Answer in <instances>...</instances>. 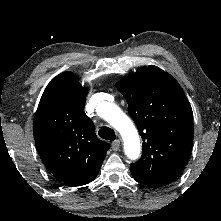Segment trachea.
<instances>
[{
    "mask_svg": "<svg viewBox=\"0 0 221 221\" xmlns=\"http://www.w3.org/2000/svg\"><path fill=\"white\" fill-rule=\"evenodd\" d=\"M102 139L113 141L116 138L115 132L109 127H103L98 132Z\"/></svg>",
    "mask_w": 221,
    "mask_h": 221,
    "instance_id": "obj_1",
    "label": "trachea"
}]
</instances>
